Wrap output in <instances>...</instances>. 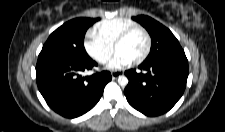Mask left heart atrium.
<instances>
[{
	"label": "left heart atrium",
	"instance_id": "39dd6f15",
	"mask_svg": "<svg viewBox=\"0 0 225 132\" xmlns=\"http://www.w3.org/2000/svg\"><path fill=\"white\" fill-rule=\"evenodd\" d=\"M132 61L125 54L121 52H116L113 59L108 64V69L110 70H120L127 65H129Z\"/></svg>",
	"mask_w": 225,
	"mask_h": 132
}]
</instances>
